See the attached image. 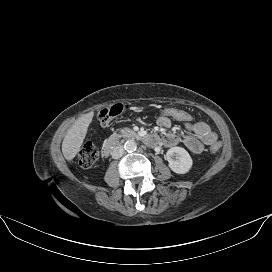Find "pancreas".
Masks as SVG:
<instances>
[{"instance_id": "1", "label": "pancreas", "mask_w": 272, "mask_h": 272, "mask_svg": "<svg viewBox=\"0 0 272 272\" xmlns=\"http://www.w3.org/2000/svg\"><path fill=\"white\" fill-rule=\"evenodd\" d=\"M119 132L121 133L120 136L122 137H128L134 135V131H132L129 128L120 129Z\"/></svg>"}]
</instances>
